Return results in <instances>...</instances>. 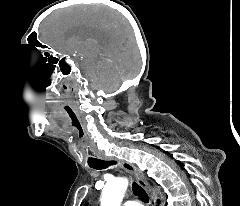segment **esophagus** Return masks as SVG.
<instances>
[{
  "mask_svg": "<svg viewBox=\"0 0 240 206\" xmlns=\"http://www.w3.org/2000/svg\"><path fill=\"white\" fill-rule=\"evenodd\" d=\"M102 159L105 161L117 162L120 165V167H122L125 171H127L130 175H132L136 179L138 184L147 192L150 200L154 203V206L156 205L157 195L153 192L147 180L144 178L141 172L137 169V167H135L131 163H128L124 160L116 159L114 157L103 156Z\"/></svg>",
  "mask_w": 240,
  "mask_h": 206,
  "instance_id": "obj_1",
  "label": "esophagus"
}]
</instances>
